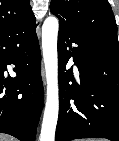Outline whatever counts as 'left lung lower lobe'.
<instances>
[{
  "label": "left lung lower lobe",
  "mask_w": 119,
  "mask_h": 141,
  "mask_svg": "<svg viewBox=\"0 0 119 141\" xmlns=\"http://www.w3.org/2000/svg\"><path fill=\"white\" fill-rule=\"evenodd\" d=\"M73 58L79 81L72 68ZM59 119L56 141H119V48L69 27H59Z\"/></svg>",
  "instance_id": "left-lung-lower-lobe-1"
}]
</instances>
